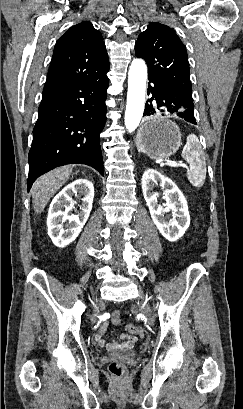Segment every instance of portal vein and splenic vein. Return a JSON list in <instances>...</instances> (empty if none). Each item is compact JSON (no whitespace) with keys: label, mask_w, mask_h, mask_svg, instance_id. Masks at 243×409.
Returning a JSON list of instances; mask_svg holds the SVG:
<instances>
[{"label":"portal vein and splenic vein","mask_w":243,"mask_h":409,"mask_svg":"<svg viewBox=\"0 0 243 409\" xmlns=\"http://www.w3.org/2000/svg\"><path fill=\"white\" fill-rule=\"evenodd\" d=\"M164 165H169V166H173V167H186V165L184 163H169V162H162L161 163V167H163Z\"/></svg>","instance_id":"portal-vein-and-splenic-vein-1"}]
</instances>
